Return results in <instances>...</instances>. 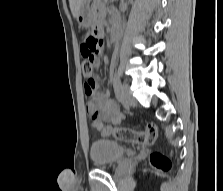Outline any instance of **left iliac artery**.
<instances>
[{"instance_id":"44dca946","label":"left iliac artery","mask_w":223,"mask_h":191,"mask_svg":"<svg viewBox=\"0 0 223 191\" xmlns=\"http://www.w3.org/2000/svg\"><path fill=\"white\" fill-rule=\"evenodd\" d=\"M120 87H121V82L119 76L116 74L114 77V88L116 92V96L120 98Z\"/></svg>"}]
</instances>
